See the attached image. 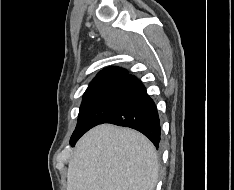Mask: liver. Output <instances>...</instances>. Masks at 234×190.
<instances>
[{"mask_svg": "<svg viewBox=\"0 0 234 190\" xmlns=\"http://www.w3.org/2000/svg\"><path fill=\"white\" fill-rule=\"evenodd\" d=\"M158 168L155 147L143 134L103 124L76 144L67 190H154Z\"/></svg>", "mask_w": 234, "mask_h": 190, "instance_id": "obj_1", "label": "liver"}]
</instances>
